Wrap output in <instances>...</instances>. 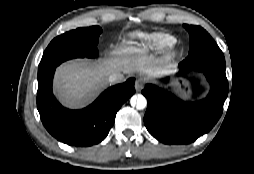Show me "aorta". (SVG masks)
<instances>
[{
  "label": "aorta",
  "instance_id": "762f6f07",
  "mask_svg": "<svg viewBox=\"0 0 254 174\" xmlns=\"http://www.w3.org/2000/svg\"><path fill=\"white\" fill-rule=\"evenodd\" d=\"M131 104L136 106L138 110H142L147 106V100L143 95L139 94L131 98Z\"/></svg>",
  "mask_w": 254,
  "mask_h": 174
}]
</instances>
